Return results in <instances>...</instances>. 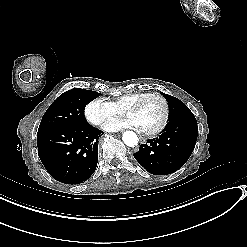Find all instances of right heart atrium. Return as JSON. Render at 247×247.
Here are the masks:
<instances>
[{
    "label": "right heart atrium",
    "instance_id": "1",
    "mask_svg": "<svg viewBox=\"0 0 247 247\" xmlns=\"http://www.w3.org/2000/svg\"><path fill=\"white\" fill-rule=\"evenodd\" d=\"M115 112V105L101 98L89 100L84 108V115L87 121L94 126L100 127H104Z\"/></svg>",
    "mask_w": 247,
    "mask_h": 247
}]
</instances>
